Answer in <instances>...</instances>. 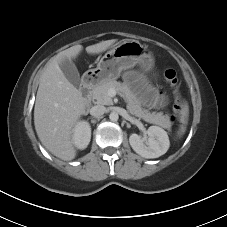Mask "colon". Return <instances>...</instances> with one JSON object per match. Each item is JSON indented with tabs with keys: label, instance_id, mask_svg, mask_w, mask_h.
<instances>
[{
	"label": "colon",
	"instance_id": "obj_1",
	"mask_svg": "<svg viewBox=\"0 0 227 227\" xmlns=\"http://www.w3.org/2000/svg\"><path fill=\"white\" fill-rule=\"evenodd\" d=\"M166 81L172 86L175 91V102L173 106L172 121L180 123L183 114V104L181 95L179 92V77L178 72L175 69H167L164 73Z\"/></svg>",
	"mask_w": 227,
	"mask_h": 227
}]
</instances>
